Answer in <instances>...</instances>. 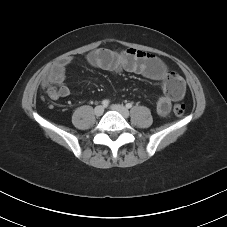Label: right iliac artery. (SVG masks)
<instances>
[{"mask_svg":"<svg viewBox=\"0 0 227 227\" xmlns=\"http://www.w3.org/2000/svg\"><path fill=\"white\" fill-rule=\"evenodd\" d=\"M102 105L105 106V107L108 106L109 105V100H103L102 101Z\"/></svg>","mask_w":227,"mask_h":227,"instance_id":"obj_1","label":"right iliac artery"}]
</instances>
